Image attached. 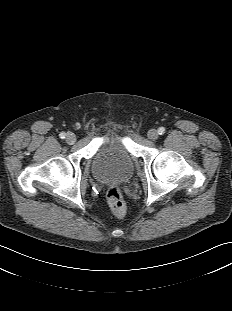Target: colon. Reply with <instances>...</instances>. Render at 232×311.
<instances>
[{"instance_id": "colon-1", "label": "colon", "mask_w": 232, "mask_h": 311, "mask_svg": "<svg viewBox=\"0 0 232 311\" xmlns=\"http://www.w3.org/2000/svg\"><path fill=\"white\" fill-rule=\"evenodd\" d=\"M106 197L111 213L117 217L124 215L126 206L119 187L110 186L107 189Z\"/></svg>"}]
</instances>
